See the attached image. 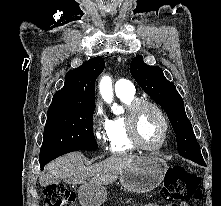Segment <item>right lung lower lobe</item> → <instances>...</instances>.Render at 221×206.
Segmentation results:
<instances>
[{
  "label": "right lung lower lobe",
  "mask_w": 221,
  "mask_h": 206,
  "mask_svg": "<svg viewBox=\"0 0 221 206\" xmlns=\"http://www.w3.org/2000/svg\"><path fill=\"white\" fill-rule=\"evenodd\" d=\"M47 163H48V162H40L41 170L44 168V166H45Z\"/></svg>",
  "instance_id": "right-lung-lower-lobe-1"
}]
</instances>
